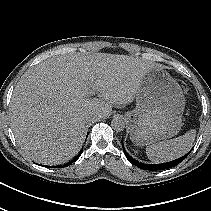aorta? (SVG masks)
Segmentation results:
<instances>
[{"instance_id":"762f6f07","label":"aorta","mask_w":211,"mask_h":211,"mask_svg":"<svg viewBox=\"0 0 211 211\" xmlns=\"http://www.w3.org/2000/svg\"><path fill=\"white\" fill-rule=\"evenodd\" d=\"M111 126L115 131H123L125 122L121 118L116 117L111 121Z\"/></svg>"}]
</instances>
